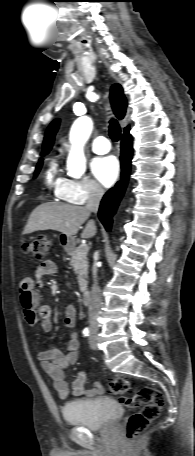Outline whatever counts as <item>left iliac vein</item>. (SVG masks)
<instances>
[{
	"instance_id": "1",
	"label": "left iliac vein",
	"mask_w": 195,
	"mask_h": 456,
	"mask_svg": "<svg viewBox=\"0 0 195 456\" xmlns=\"http://www.w3.org/2000/svg\"><path fill=\"white\" fill-rule=\"evenodd\" d=\"M89 345L93 350H96V348H97L96 330H93L89 336Z\"/></svg>"
}]
</instances>
